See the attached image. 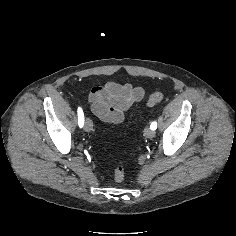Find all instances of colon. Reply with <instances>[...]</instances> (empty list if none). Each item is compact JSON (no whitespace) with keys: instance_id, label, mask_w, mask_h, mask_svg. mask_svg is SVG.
Returning a JSON list of instances; mask_svg holds the SVG:
<instances>
[{"instance_id":"colon-1","label":"colon","mask_w":236,"mask_h":236,"mask_svg":"<svg viewBox=\"0 0 236 236\" xmlns=\"http://www.w3.org/2000/svg\"><path fill=\"white\" fill-rule=\"evenodd\" d=\"M163 100V94L160 92H155L150 95V97L147 100L148 106H154L158 103H160ZM124 178V170L122 167H117L114 170V179L116 182H121Z\"/></svg>"}]
</instances>
